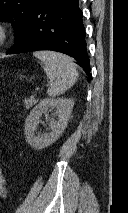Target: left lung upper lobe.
<instances>
[{
    "instance_id": "obj_1",
    "label": "left lung upper lobe",
    "mask_w": 128,
    "mask_h": 213,
    "mask_svg": "<svg viewBox=\"0 0 128 213\" xmlns=\"http://www.w3.org/2000/svg\"><path fill=\"white\" fill-rule=\"evenodd\" d=\"M38 0H0V21L11 22L15 37L26 25Z\"/></svg>"
}]
</instances>
